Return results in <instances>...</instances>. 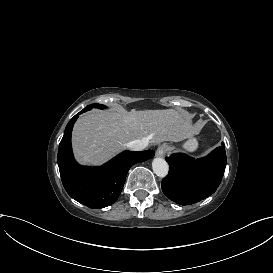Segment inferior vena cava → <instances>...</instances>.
Masks as SVG:
<instances>
[{"label":"inferior vena cava","instance_id":"602c4592","mask_svg":"<svg viewBox=\"0 0 273 273\" xmlns=\"http://www.w3.org/2000/svg\"><path fill=\"white\" fill-rule=\"evenodd\" d=\"M147 145H148V140L141 139V140L130 141L127 144V147H129L133 151H141V150L145 149L147 147Z\"/></svg>","mask_w":273,"mask_h":273}]
</instances>
